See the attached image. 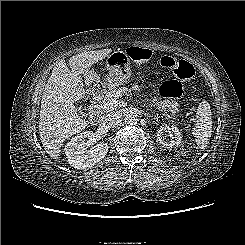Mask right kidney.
Returning <instances> with one entry per match:
<instances>
[{
	"label": "right kidney",
	"mask_w": 245,
	"mask_h": 245,
	"mask_svg": "<svg viewBox=\"0 0 245 245\" xmlns=\"http://www.w3.org/2000/svg\"><path fill=\"white\" fill-rule=\"evenodd\" d=\"M93 138L92 131L82 132L65 145V154L69 164L76 169H88L102 160L108 152V144L101 142L87 150V144ZM86 140H88L86 142Z\"/></svg>",
	"instance_id": "1"
}]
</instances>
